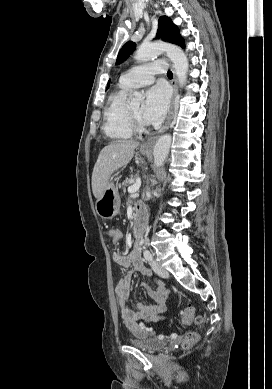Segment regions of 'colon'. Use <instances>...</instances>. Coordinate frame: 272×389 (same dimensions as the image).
<instances>
[{
	"label": "colon",
	"instance_id": "5ec220e1",
	"mask_svg": "<svg viewBox=\"0 0 272 389\" xmlns=\"http://www.w3.org/2000/svg\"><path fill=\"white\" fill-rule=\"evenodd\" d=\"M108 233L111 241L114 244H118L121 241L122 234L118 229L112 228L109 230ZM182 320L184 324H189L193 320L197 326L196 330H191L187 332L183 339V343H182L183 348L189 349L193 347L195 344H197V342L200 339V335H201L200 330L203 324V318L199 315L195 316L194 310L191 307H188L183 312Z\"/></svg>",
	"mask_w": 272,
	"mask_h": 389
}]
</instances>
